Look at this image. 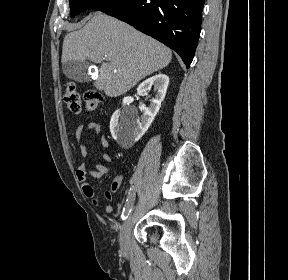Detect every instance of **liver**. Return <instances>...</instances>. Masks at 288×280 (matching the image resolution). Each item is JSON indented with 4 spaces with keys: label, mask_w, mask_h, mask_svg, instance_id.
<instances>
[{
    "label": "liver",
    "mask_w": 288,
    "mask_h": 280,
    "mask_svg": "<svg viewBox=\"0 0 288 280\" xmlns=\"http://www.w3.org/2000/svg\"><path fill=\"white\" fill-rule=\"evenodd\" d=\"M171 59V50L162 43L97 11L84 27L65 36L61 61L101 64L94 86L110 97H118L166 67Z\"/></svg>",
    "instance_id": "obj_1"
}]
</instances>
